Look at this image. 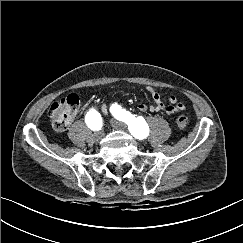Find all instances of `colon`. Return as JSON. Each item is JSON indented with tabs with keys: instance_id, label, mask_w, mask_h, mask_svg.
<instances>
[{
	"instance_id": "colon-1",
	"label": "colon",
	"mask_w": 243,
	"mask_h": 243,
	"mask_svg": "<svg viewBox=\"0 0 243 243\" xmlns=\"http://www.w3.org/2000/svg\"><path fill=\"white\" fill-rule=\"evenodd\" d=\"M79 107V97L70 94L60 101L55 102L49 108V118L52 127L57 131H64L73 121ZM188 125V117L180 114L177 118V126L184 130Z\"/></svg>"
}]
</instances>
